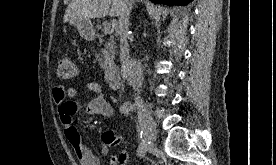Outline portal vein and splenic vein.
Segmentation results:
<instances>
[{
    "mask_svg": "<svg viewBox=\"0 0 276 165\" xmlns=\"http://www.w3.org/2000/svg\"><path fill=\"white\" fill-rule=\"evenodd\" d=\"M116 28V24L115 23H108L104 25V33L105 34H111L114 32V29Z\"/></svg>",
    "mask_w": 276,
    "mask_h": 165,
    "instance_id": "18ae733b",
    "label": "portal vein and splenic vein"
}]
</instances>
